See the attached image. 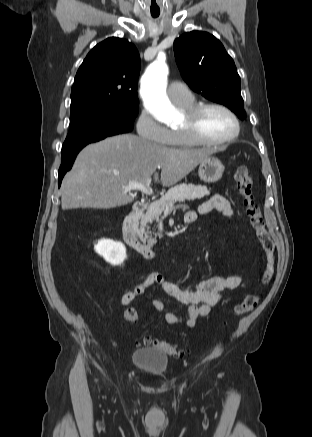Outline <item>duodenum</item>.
Instances as JSON below:
<instances>
[{
    "label": "duodenum",
    "mask_w": 312,
    "mask_h": 437,
    "mask_svg": "<svg viewBox=\"0 0 312 437\" xmlns=\"http://www.w3.org/2000/svg\"><path fill=\"white\" fill-rule=\"evenodd\" d=\"M149 202L145 199L137 200L134 202L132 209L126 216L122 232L125 242L137 251L139 254L149 260H154L157 256L156 250L150 243L144 242L140 239L137 233L140 217L145 209L148 207Z\"/></svg>",
    "instance_id": "410a0bca"
}]
</instances>
